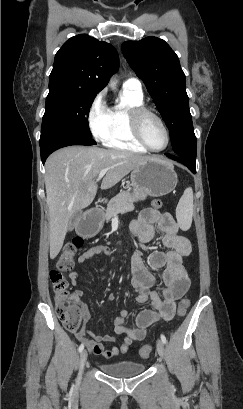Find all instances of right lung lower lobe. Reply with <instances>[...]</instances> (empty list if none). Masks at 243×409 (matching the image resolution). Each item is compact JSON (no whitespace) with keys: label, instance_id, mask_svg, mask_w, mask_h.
<instances>
[{"label":"right lung lower lobe","instance_id":"98d812e1","mask_svg":"<svg viewBox=\"0 0 243 409\" xmlns=\"http://www.w3.org/2000/svg\"><path fill=\"white\" fill-rule=\"evenodd\" d=\"M93 139L85 138L79 135L56 132L50 134L47 138L40 140L41 159L44 164L47 157L55 150L70 145H94Z\"/></svg>","mask_w":243,"mask_h":409}]
</instances>
